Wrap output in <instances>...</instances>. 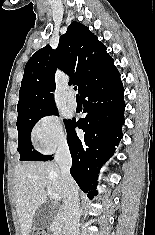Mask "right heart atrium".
Here are the masks:
<instances>
[{
	"label": "right heart atrium",
	"mask_w": 155,
	"mask_h": 235,
	"mask_svg": "<svg viewBox=\"0 0 155 235\" xmlns=\"http://www.w3.org/2000/svg\"><path fill=\"white\" fill-rule=\"evenodd\" d=\"M31 137L37 150L49 154L63 148L67 137L61 119L55 114H47L34 124Z\"/></svg>",
	"instance_id": "1"
}]
</instances>
